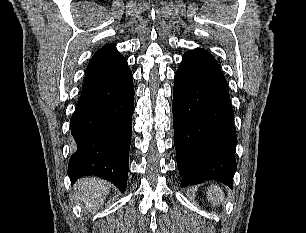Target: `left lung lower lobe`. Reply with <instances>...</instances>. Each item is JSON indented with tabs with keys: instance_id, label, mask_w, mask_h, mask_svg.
Returning a JSON list of instances; mask_svg holds the SVG:
<instances>
[{
	"instance_id": "left-lung-lower-lobe-1",
	"label": "left lung lower lobe",
	"mask_w": 306,
	"mask_h": 233,
	"mask_svg": "<svg viewBox=\"0 0 306 233\" xmlns=\"http://www.w3.org/2000/svg\"><path fill=\"white\" fill-rule=\"evenodd\" d=\"M173 126L182 186L215 179L232 186L236 171L234 112L216 59L188 51L175 74Z\"/></svg>"
}]
</instances>
